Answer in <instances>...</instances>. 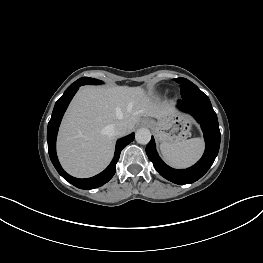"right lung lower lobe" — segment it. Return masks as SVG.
<instances>
[{"mask_svg":"<svg viewBox=\"0 0 263 263\" xmlns=\"http://www.w3.org/2000/svg\"><path fill=\"white\" fill-rule=\"evenodd\" d=\"M80 86V84H74L71 87H68V89L64 92L62 97L56 102L54 106L52 117L48 123L47 129L48 152L54 167L65 180L80 189H94L107 183L113 177L116 172V164L119 160L121 150L133 141L135 134L132 133L117 141L112 162L100 174L87 179H78L67 174L62 169L56 155V137L63 114Z\"/></svg>","mask_w":263,"mask_h":263,"instance_id":"right-lung-lower-lobe-1","label":"right lung lower lobe"}]
</instances>
